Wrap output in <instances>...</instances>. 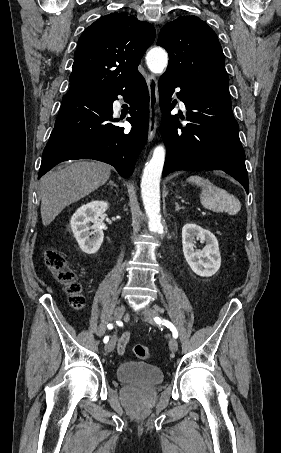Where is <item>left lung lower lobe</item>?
<instances>
[{"instance_id": "0a47b994", "label": "left lung lower lobe", "mask_w": 281, "mask_h": 453, "mask_svg": "<svg viewBox=\"0 0 281 453\" xmlns=\"http://www.w3.org/2000/svg\"><path fill=\"white\" fill-rule=\"evenodd\" d=\"M188 112L186 127L179 124L171 96L174 89ZM160 106L163 112L161 134L167 146L162 176L179 170H223L239 181L248 193L249 181L245 153L238 135L229 92L192 91L180 86L169 75L159 80ZM183 119L182 116H179Z\"/></svg>"}]
</instances>
